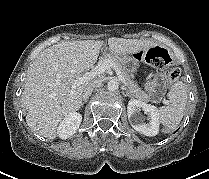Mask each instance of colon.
I'll return each mask as SVG.
<instances>
[{
  "label": "colon",
  "instance_id": "5ec220e1",
  "mask_svg": "<svg viewBox=\"0 0 209 179\" xmlns=\"http://www.w3.org/2000/svg\"><path fill=\"white\" fill-rule=\"evenodd\" d=\"M134 57L137 60L159 69L167 67L171 62L169 53L161 47H152L146 51H137L134 54ZM180 74L181 71L178 67H172L168 75L169 84L176 82L179 79Z\"/></svg>",
  "mask_w": 209,
  "mask_h": 179
}]
</instances>
